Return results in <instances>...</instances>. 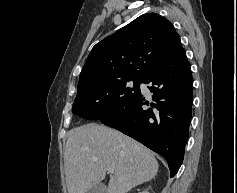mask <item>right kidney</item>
<instances>
[{"label": "right kidney", "instance_id": "1", "mask_svg": "<svg viewBox=\"0 0 237 193\" xmlns=\"http://www.w3.org/2000/svg\"><path fill=\"white\" fill-rule=\"evenodd\" d=\"M140 193H149V192H148V190H145V191H142V192H140Z\"/></svg>", "mask_w": 237, "mask_h": 193}]
</instances>
